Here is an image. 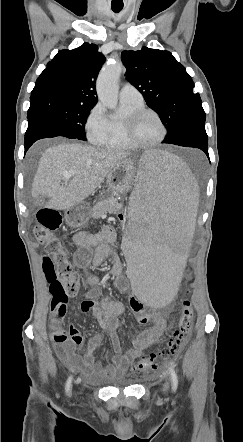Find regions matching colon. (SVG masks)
Wrapping results in <instances>:
<instances>
[{"label":"colon","instance_id":"5ec220e1","mask_svg":"<svg viewBox=\"0 0 243 442\" xmlns=\"http://www.w3.org/2000/svg\"><path fill=\"white\" fill-rule=\"evenodd\" d=\"M38 224L34 233L37 241L45 246L47 255L43 258V272L49 284L52 295V308L63 307L68 304L84 287L91 285L89 278H82L70 263L67 252L62 246L60 238L55 232L60 228L62 219L58 211L52 208H43L37 214ZM117 225L123 226L127 220L126 213H117ZM185 299L180 301L181 312L177 318L176 327L170 339L157 351L141 358L132 367L135 373H148L158 368L160 361L174 355L189 332L194 312L189 292H184ZM61 334L54 335V340H64Z\"/></svg>","mask_w":243,"mask_h":442}]
</instances>
